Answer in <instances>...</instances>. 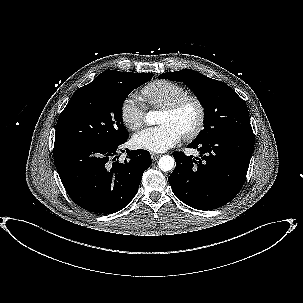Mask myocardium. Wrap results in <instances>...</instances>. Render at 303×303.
<instances>
[{"label": "myocardium", "instance_id": "obj_1", "mask_svg": "<svg viewBox=\"0 0 303 303\" xmlns=\"http://www.w3.org/2000/svg\"><path fill=\"white\" fill-rule=\"evenodd\" d=\"M187 102H192L197 108V119L194 126L182 134L185 139L190 140L200 134L205 124L206 111L202 101L195 95L185 94L172 103L164 106L162 111L175 113Z\"/></svg>", "mask_w": 303, "mask_h": 303}]
</instances>
